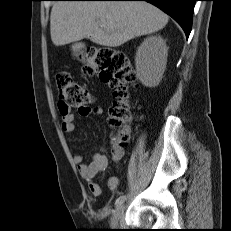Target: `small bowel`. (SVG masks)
<instances>
[{
  "label": "small bowel",
  "mask_w": 231,
  "mask_h": 231,
  "mask_svg": "<svg viewBox=\"0 0 231 231\" xmlns=\"http://www.w3.org/2000/svg\"><path fill=\"white\" fill-rule=\"evenodd\" d=\"M104 111L101 107H82L79 109V114L81 116H89L91 114L101 116L103 115ZM74 115L71 113L63 114L62 116V122H61V129L65 133H72L75 130V124H74ZM126 134L130 133V129L126 128L124 130ZM124 155L123 148L116 142L112 145V160L115 163H119ZM73 161L78 167V171L81 175V177L87 182L88 188L91 192V194L94 197H99L102 194V187L96 182L95 178L98 174L103 172L107 165L108 160L106 155L102 151L95 152L92 155V160L90 163L84 162V157L82 154H75L73 157ZM107 188L115 192L119 186V180L115 176H111L106 181Z\"/></svg>",
  "instance_id": "small-bowel-1"
}]
</instances>
